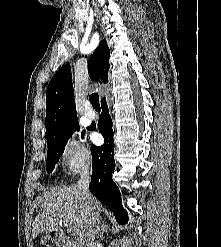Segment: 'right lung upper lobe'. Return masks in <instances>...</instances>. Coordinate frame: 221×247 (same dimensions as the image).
Returning <instances> with one entry per match:
<instances>
[{
	"label": "right lung upper lobe",
	"instance_id": "1",
	"mask_svg": "<svg viewBox=\"0 0 221 247\" xmlns=\"http://www.w3.org/2000/svg\"><path fill=\"white\" fill-rule=\"evenodd\" d=\"M110 50L106 40L90 56L88 71L91 80L108 82ZM78 122L70 64L64 65L51 79L46 93V138L55 136Z\"/></svg>",
	"mask_w": 221,
	"mask_h": 247
}]
</instances>
